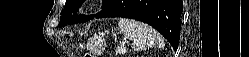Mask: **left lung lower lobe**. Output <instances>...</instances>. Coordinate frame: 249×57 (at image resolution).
<instances>
[{
    "instance_id": "left-lung-lower-lobe-1",
    "label": "left lung lower lobe",
    "mask_w": 249,
    "mask_h": 57,
    "mask_svg": "<svg viewBox=\"0 0 249 57\" xmlns=\"http://www.w3.org/2000/svg\"><path fill=\"white\" fill-rule=\"evenodd\" d=\"M182 11V0H113L97 18L123 17L145 22L159 31L176 50Z\"/></svg>"
}]
</instances>
